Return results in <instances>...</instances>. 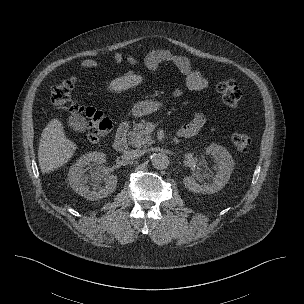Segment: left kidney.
I'll use <instances>...</instances> for the list:
<instances>
[{
  "mask_svg": "<svg viewBox=\"0 0 304 304\" xmlns=\"http://www.w3.org/2000/svg\"><path fill=\"white\" fill-rule=\"evenodd\" d=\"M207 152L217 164V172L213 176L204 160L200 161L195 175L183 179L185 187L194 193L212 194L218 192L227 184L234 169V160L225 147L210 144L207 147ZM206 179L210 180V183H206ZM196 180L200 183H197Z\"/></svg>",
  "mask_w": 304,
  "mask_h": 304,
  "instance_id": "1",
  "label": "left kidney"
}]
</instances>
